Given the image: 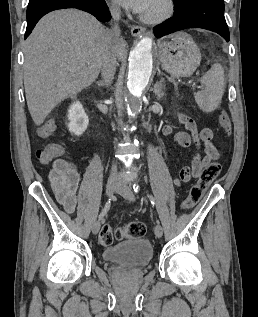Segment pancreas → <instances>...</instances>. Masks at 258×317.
I'll return each instance as SVG.
<instances>
[{
	"label": "pancreas",
	"instance_id": "1",
	"mask_svg": "<svg viewBox=\"0 0 258 317\" xmlns=\"http://www.w3.org/2000/svg\"><path fill=\"white\" fill-rule=\"evenodd\" d=\"M168 80H171V82H174V78L172 76H167Z\"/></svg>",
	"mask_w": 258,
	"mask_h": 317
}]
</instances>
